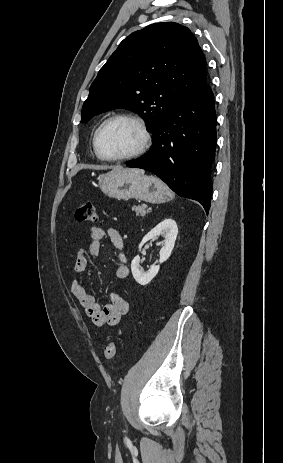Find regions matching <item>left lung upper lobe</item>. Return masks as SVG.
I'll return each mask as SVG.
<instances>
[{
	"mask_svg": "<svg viewBox=\"0 0 283 463\" xmlns=\"http://www.w3.org/2000/svg\"><path fill=\"white\" fill-rule=\"evenodd\" d=\"M207 81L206 60L191 31L156 23L126 37L100 69L83 104L81 123L115 108L147 120L150 132L185 96Z\"/></svg>",
	"mask_w": 283,
	"mask_h": 463,
	"instance_id": "obj_1",
	"label": "left lung upper lobe"
}]
</instances>
